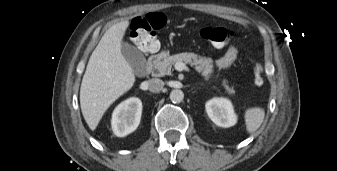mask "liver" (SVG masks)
Listing matches in <instances>:
<instances>
[{
    "mask_svg": "<svg viewBox=\"0 0 337 171\" xmlns=\"http://www.w3.org/2000/svg\"><path fill=\"white\" fill-rule=\"evenodd\" d=\"M129 21L111 26L102 36L86 67L80 87V106L91 130L120 96L132 88L135 75L122 54V39Z\"/></svg>",
    "mask_w": 337,
    "mask_h": 171,
    "instance_id": "liver-1",
    "label": "liver"
}]
</instances>
